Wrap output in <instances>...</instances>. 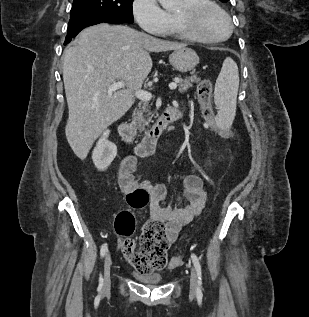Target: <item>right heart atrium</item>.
<instances>
[{"instance_id":"right-heart-atrium-1","label":"right heart atrium","mask_w":309,"mask_h":317,"mask_svg":"<svg viewBox=\"0 0 309 317\" xmlns=\"http://www.w3.org/2000/svg\"><path fill=\"white\" fill-rule=\"evenodd\" d=\"M133 16L142 30L150 34H160L169 26L167 13L157 0H133Z\"/></svg>"}]
</instances>
